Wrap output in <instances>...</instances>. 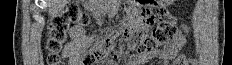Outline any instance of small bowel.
<instances>
[{"label": "small bowel", "instance_id": "c3829d8e", "mask_svg": "<svg viewBox=\"0 0 232 65\" xmlns=\"http://www.w3.org/2000/svg\"><path fill=\"white\" fill-rule=\"evenodd\" d=\"M119 17H141V23H127L129 32H106V37H114L115 40H126V47H136L144 34H148L149 28H153V12H119ZM186 27L179 30L164 46L163 49L154 50L144 54L134 56L127 65H142L149 60L160 59L163 65H195L196 60L187 58L183 54H179L180 50L186 44L187 38L184 34ZM138 31V32H136ZM71 42L65 47V56L68 58V65H82L80 61V53L85 50L92 42V38L85 34L82 27H74L70 31ZM107 65H116L108 62Z\"/></svg>", "mask_w": 232, "mask_h": 65}]
</instances>
